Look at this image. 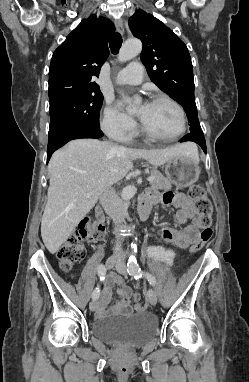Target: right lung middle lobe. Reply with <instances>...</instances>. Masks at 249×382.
<instances>
[{"label": "right lung middle lobe", "mask_w": 249, "mask_h": 382, "mask_svg": "<svg viewBox=\"0 0 249 382\" xmlns=\"http://www.w3.org/2000/svg\"><path fill=\"white\" fill-rule=\"evenodd\" d=\"M102 94L64 98L50 104L49 135L78 126H98Z\"/></svg>", "instance_id": "1"}]
</instances>
